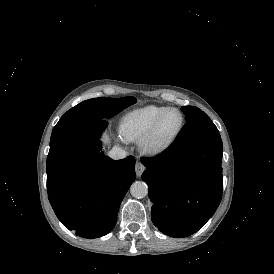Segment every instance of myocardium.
Here are the masks:
<instances>
[{
  "label": "myocardium",
  "mask_w": 274,
  "mask_h": 274,
  "mask_svg": "<svg viewBox=\"0 0 274 274\" xmlns=\"http://www.w3.org/2000/svg\"><path fill=\"white\" fill-rule=\"evenodd\" d=\"M174 111L180 113V115L182 117V123H181L180 128L178 129V131L174 135H172L166 141L165 144H163L162 146H154L153 145V139L157 135L158 130L160 128V125L162 124L165 117L170 112H174ZM186 122H187L186 115L181 109L176 108V107L167 108L160 115V117L154 122V124L139 139L140 151L144 155L149 156V157H158V156H161V155L165 154L166 152H168L171 149L173 144L176 142V140L180 137V135L184 131L185 126H186Z\"/></svg>",
  "instance_id": "1"
}]
</instances>
